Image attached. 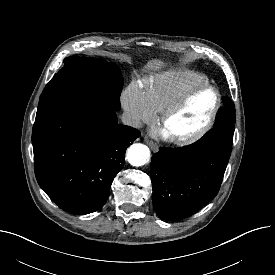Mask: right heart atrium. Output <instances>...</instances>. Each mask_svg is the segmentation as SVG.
<instances>
[{
  "label": "right heart atrium",
  "instance_id": "1",
  "mask_svg": "<svg viewBox=\"0 0 275 275\" xmlns=\"http://www.w3.org/2000/svg\"><path fill=\"white\" fill-rule=\"evenodd\" d=\"M122 105L133 125L148 122L153 119L154 111L151 109L142 88L130 84L122 94Z\"/></svg>",
  "mask_w": 275,
  "mask_h": 275
}]
</instances>
